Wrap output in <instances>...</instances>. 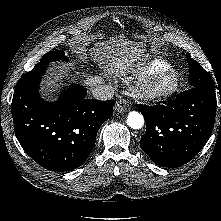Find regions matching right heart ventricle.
Here are the masks:
<instances>
[{
	"instance_id": "obj_1",
	"label": "right heart ventricle",
	"mask_w": 221,
	"mask_h": 221,
	"mask_svg": "<svg viewBox=\"0 0 221 221\" xmlns=\"http://www.w3.org/2000/svg\"><path fill=\"white\" fill-rule=\"evenodd\" d=\"M171 68L170 64L162 59H153L144 64L139 68L140 73L150 74L156 71L165 70Z\"/></svg>"
}]
</instances>
